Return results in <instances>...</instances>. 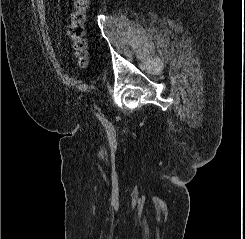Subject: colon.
I'll return each mask as SVG.
<instances>
[{
  "mask_svg": "<svg viewBox=\"0 0 245 239\" xmlns=\"http://www.w3.org/2000/svg\"><path fill=\"white\" fill-rule=\"evenodd\" d=\"M90 0H74V11L67 27V35L72 43L73 56L81 68L89 64L88 42L85 36L86 13Z\"/></svg>",
  "mask_w": 245,
  "mask_h": 239,
  "instance_id": "5ec220e1",
  "label": "colon"
}]
</instances>
